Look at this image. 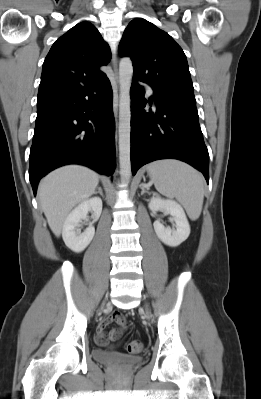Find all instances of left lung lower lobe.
I'll return each instance as SVG.
<instances>
[{
	"mask_svg": "<svg viewBox=\"0 0 261 399\" xmlns=\"http://www.w3.org/2000/svg\"><path fill=\"white\" fill-rule=\"evenodd\" d=\"M144 89L131 86L132 174L143 165L164 158L182 160L201 171L209 183V154L198 122L193 97L154 92L156 112L145 111ZM152 105V100H149Z\"/></svg>",
	"mask_w": 261,
	"mask_h": 399,
	"instance_id": "obj_1",
	"label": "left lung lower lobe"
}]
</instances>
